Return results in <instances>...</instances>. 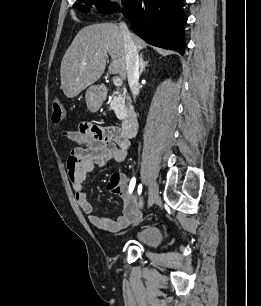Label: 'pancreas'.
I'll return each instance as SVG.
<instances>
[{
    "label": "pancreas",
    "mask_w": 261,
    "mask_h": 306,
    "mask_svg": "<svg viewBox=\"0 0 261 306\" xmlns=\"http://www.w3.org/2000/svg\"><path fill=\"white\" fill-rule=\"evenodd\" d=\"M126 99L127 97L123 94H118L117 92L114 93V96L109 101L110 108L114 110L118 119H123L127 113V106H126Z\"/></svg>",
    "instance_id": "cf45deb5"
}]
</instances>
